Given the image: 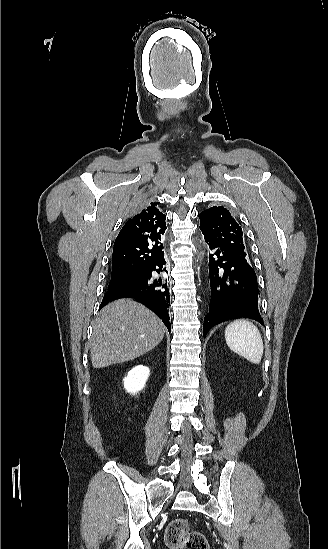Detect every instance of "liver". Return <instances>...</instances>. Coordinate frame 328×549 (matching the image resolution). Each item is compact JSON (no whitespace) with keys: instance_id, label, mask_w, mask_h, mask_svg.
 Here are the masks:
<instances>
[{"instance_id":"liver-1","label":"liver","mask_w":328,"mask_h":549,"mask_svg":"<svg viewBox=\"0 0 328 549\" xmlns=\"http://www.w3.org/2000/svg\"><path fill=\"white\" fill-rule=\"evenodd\" d=\"M91 363L94 369L132 361L161 343L165 327L150 309L132 299L103 307L93 325Z\"/></svg>"}]
</instances>
